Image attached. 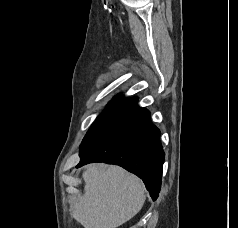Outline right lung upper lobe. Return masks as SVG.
I'll use <instances>...</instances> for the list:
<instances>
[{"label":"right lung upper lobe","instance_id":"obj_1","mask_svg":"<svg viewBox=\"0 0 238 228\" xmlns=\"http://www.w3.org/2000/svg\"><path fill=\"white\" fill-rule=\"evenodd\" d=\"M137 98L123 99L116 96L99 116H117L121 117L135 109L137 106Z\"/></svg>","mask_w":238,"mask_h":228}]
</instances>
